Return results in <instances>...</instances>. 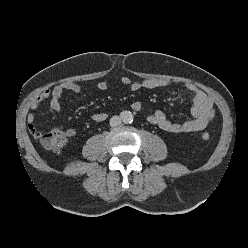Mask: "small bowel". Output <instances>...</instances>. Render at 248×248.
I'll use <instances>...</instances> for the list:
<instances>
[{"instance_id":"obj_1","label":"small bowel","mask_w":248,"mask_h":248,"mask_svg":"<svg viewBox=\"0 0 248 248\" xmlns=\"http://www.w3.org/2000/svg\"><path fill=\"white\" fill-rule=\"evenodd\" d=\"M121 85L127 87L129 90L136 92L141 89L154 90L157 88H165L172 86L170 81L164 79L150 78L144 80H132L127 76L120 78ZM98 89L106 90L108 84L105 81L98 82ZM184 90H186L193 99V106L191 108L192 119L185 122H172L167 119L162 111H154L147 115V121L153 125L158 126L161 130L169 133L180 134L200 131L206 128V126L213 120L215 116V108L213 101L208 97L205 92L191 83L183 84ZM65 91L78 94L81 92V87L75 82H64L56 85L51 90L43 91L37 96L31 103L30 108L36 110L39 105L48 100L50 108L59 113L61 107V97ZM131 108L135 112H143V105L139 101H135L131 104ZM107 115L105 113H94L91 115V119L94 122L100 123L105 121ZM27 125L30 133L37 139L40 138L41 132L36 128L35 115L33 113L27 116ZM66 134L70 137L76 134L74 129H68Z\"/></svg>"}]
</instances>
